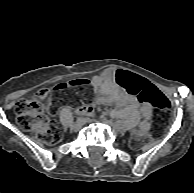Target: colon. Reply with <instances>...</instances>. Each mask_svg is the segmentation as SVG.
<instances>
[{
    "mask_svg": "<svg viewBox=\"0 0 194 193\" xmlns=\"http://www.w3.org/2000/svg\"><path fill=\"white\" fill-rule=\"evenodd\" d=\"M120 85L134 94L142 105L151 104L159 111H170V103L166 97L158 92L146 80L132 74L119 71L116 75ZM90 85L88 79H78L69 83L59 84L53 88H45L37 93L19 100L14 107L16 120L19 127L25 131L34 132L37 138L47 144H56L61 141L62 133L57 124L47 116L48 101L65 88H75L84 92ZM140 134L138 138H143ZM133 144H137V140Z\"/></svg>",
    "mask_w": 194,
    "mask_h": 193,
    "instance_id": "obj_1",
    "label": "colon"
}]
</instances>
